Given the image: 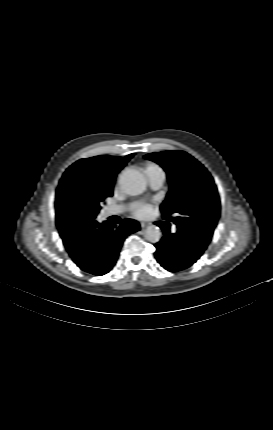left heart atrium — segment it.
<instances>
[{
	"mask_svg": "<svg viewBox=\"0 0 273 430\" xmlns=\"http://www.w3.org/2000/svg\"><path fill=\"white\" fill-rule=\"evenodd\" d=\"M150 213V205L137 206L134 214L138 217H145Z\"/></svg>",
	"mask_w": 273,
	"mask_h": 430,
	"instance_id": "1",
	"label": "left heart atrium"
}]
</instances>
